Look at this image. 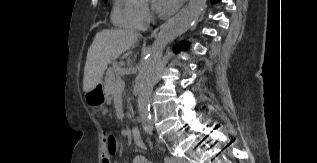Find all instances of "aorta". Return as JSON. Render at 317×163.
I'll list each match as a JSON object with an SVG mask.
<instances>
[{
	"label": "aorta",
	"instance_id": "aorta-1",
	"mask_svg": "<svg viewBox=\"0 0 317 163\" xmlns=\"http://www.w3.org/2000/svg\"><path fill=\"white\" fill-rule=\"evenodd\" d=\"M207 0H190L184 12L170 20L152 44L140 71L141 84L138 96V112L143 126H150V99L156 83L159 63L165 47L184 34L197 21Z\"/></svg>",
	"mask_w": 317,
	"mask_h": 163
}]
</instances>
